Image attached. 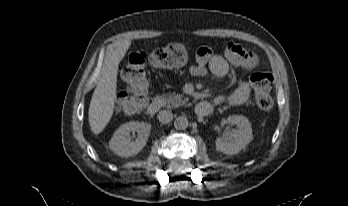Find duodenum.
<instances>
[{
	"mask_svg": "<svg viewBox=\"0 0 348 206\" xmlns=\"http://www.w3.org/2000/svg\"><path fill=\"white\" fill-rule=\"evenodd\" d=\"M162 105H163V101L161 99H155L148 106V109H147L148 114L155 115L160 110ZM212 110H213V107L210 103L202 102L198 104L196 108V113L200 116H208L209 114H211Z\"/></svg>",
	"mask_w": 348,
	"mask_h": 206,
	"instance_id": "duodenum-1",
	"label": "duodenum"
}]
</instances>
